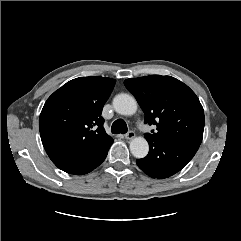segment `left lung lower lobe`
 <instances>
[{
  "instance_id": "1",
  "label": "left lung lower lobe",
  "mask_w": 241,
  "mask_h": 241,
  "mask_svg": "<svg viewBox=\"0 0 241 241\" xmlns=\"http://www.w3.org/2000/svg\"><path fill=\"white\" fill-rule=\"evenodd\" d=\"M149 143V154L137 159L138 167L147 175L157 179L168 178L179 172L195 155L199 145L173 142L157 137L145 136Z\"/></svg>"
}]
</instances>
